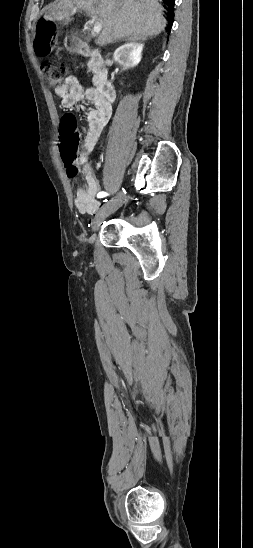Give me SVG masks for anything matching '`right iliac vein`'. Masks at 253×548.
I'll return each mask as SVG.
<instances>
[{
    "instance_id": "63e3f726",
    "label": "right iliac vein",
    "mask_w": 253,
    "mask_h": 548,
    "mask_svg": "<svg viewBox=\"0 0 253 548\" xmlns=\"http://www.w3.org/2000/svg\"><path fill=\"white\" fill-rule=\"evenodd\" d=\"M125 198V192L121 191L115 199H112L108 203L104 204L93 220L92 231H96L104 218L116 211Z\"/></svg>"
}]
</instances>
